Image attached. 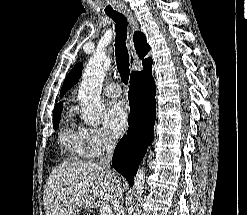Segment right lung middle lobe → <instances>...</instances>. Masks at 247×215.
<instances>
[{
    "instance_id": "dd1d6c3e",
    "label": "right lung middle lobe",
    "mask_w": 247,
    "mask_h": 215,
    "mask_svg": "<svg viewBox=\"0 0 247 215\" xmlns=\"http://www.w3.org/2000/svg\"><path fill=\"white\" fill-rule=\"evenodd\" d=\"M60 122V113L53 114V127L56 128Z\"/></svg>"
}]
</instances>
